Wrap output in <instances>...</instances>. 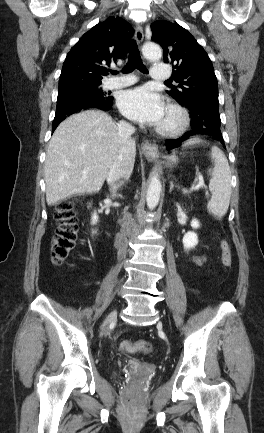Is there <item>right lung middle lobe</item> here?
<instances>
[{"label":"right lung middle lobe","mask_w":264,"mask_h":433,"mask_svg":"<svg viewBox=\"0 0 264 433\" xmlns=\"http://www.w3.org/2000/svg\"><path fill=\"white\" fill-rule=\"evenodd\" d=\"M101 84L95 85H75L61 91H58L57 109L56 113L62 110L61 102H67L70 98L78 95L84 96H97L106 97V93H103Z\"/></svg>","instance_id":"right-lung-middle-lobe-1"}]
</instances>
